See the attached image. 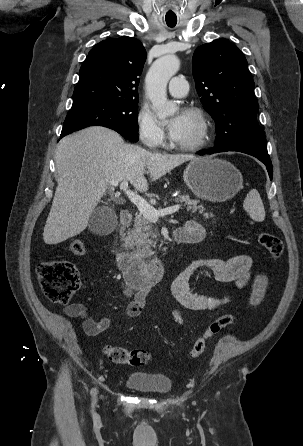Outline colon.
Here are the masks:
<instances>
[{
  "instance_id": "obj_1",
  "label": "colon",
  "mask_w": 303,
  "mask_h": 446,
  "mask_svg": "<svg viewBox=\"0 0 303 446\" xmlns=\"http://www.w3.org/2000/svg\"><path fill=\"white\" fill-rule=\"evenodd\" d=\"M257 238L259 244L268 251L272 258L281 257L284 247L278 236L260 232ZM70 251L74 255L83 256L86 253V246L83 241L75 239L70 244ZM36 273L45 296L57 304L68 303L80 287L79 272L72 263L67 261H41L37 264ZM234 318V314L225 313L213 320L193 343L190 355L194 358L199 357L205 351L208 341L231 324ZM104 354L116 364L143 366L149 360L148 352L143 349L127 350L115 345L106 346Z\"/></svg>"
}]
</instances>
